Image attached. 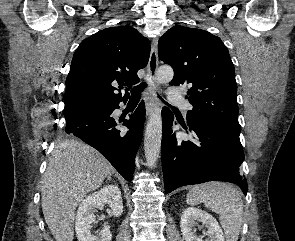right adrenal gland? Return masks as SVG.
I'll return each instance as SVG.
<instances>
[{
  "label": "right adrenal gland",
  "mask_w": 295,
  "mask_h": 241,
  "mask_svg": "<svg viewBox=\"0 0 295 241\" xmlns=\"http://www.w3.org/2000/svg\"><path fill=\"white\" fill-rule=\"evenodd\" d=\"M108 180H111V176H108Z\"/></svg>",
  "instance_id": "obj_1"
}]
</instances>
